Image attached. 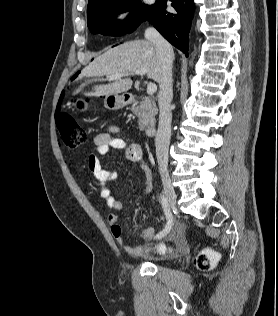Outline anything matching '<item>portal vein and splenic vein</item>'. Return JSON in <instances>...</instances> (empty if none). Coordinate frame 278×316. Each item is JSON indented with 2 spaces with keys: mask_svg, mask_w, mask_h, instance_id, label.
Returning <instances> with one entry per match:
<instances>
[{
  "mask_svg": "<svg viewBox=\"0 0 278 316\" xmlns=\"http://www.w3.org/2000/svg\"><path fill=\"white\" fill-rule=\"evenodd\" d=\"M134 73L137 74V75H145L147 73V70L145 68H140V69H137ZM122 76H123V74H116V75L111 76L110 78L111 79H117V78H120ZM156 91H157L156 84L152 83V82L148 83V85H147V93L149 95H152Z\"/></svg>",
  "mask_w": 278,
  "mask_h": 316,
  "instance_id": "1",
  "label": "portal vein and splenic vein"
}]
</instances>
